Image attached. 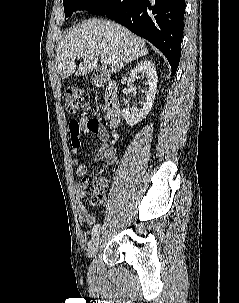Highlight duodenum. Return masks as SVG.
Wrapping results in <instances>:
<instances>
[{"instance_id": "obj_1", "label": "duodenum", "mask_w": 239, "mask_h": 303, "mask_svg": "<svg viewBox=\"0 0 239 303\" xmlns=\"http://www.w3.org/2000/svg\"><path fill=\"white\" fill-rule=\"evenodd\" d=\"M118 85L114 81L105 84L104 105L107 118L112 127H117L120 123V103L118 99Z\"/></svg>"}]
</instances>
